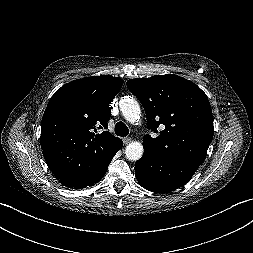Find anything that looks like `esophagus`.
I'll use <instances>...</instances> for the list:
<instances>
[{"instance_id":"obj_1","label":"esophagus","mask_w":253,"mask_h":253,"mask_svg":"<svg viewBox=\"0 0 253 253\" xmlns=\"http://www.w3.org/2000/svg\"><path fill=\"white\" fill-rule=\"evenodd\" d=\"M131 140H132L131 137H124V138H123V143H124L125 145H127V144H129V143L131 142Z\"/></svg>"}]
</instances>
